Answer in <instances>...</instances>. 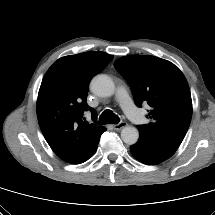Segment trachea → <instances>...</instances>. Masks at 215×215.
<instances>
[{
    "mask_svg": "<svg viewBox=\"0 0 215 215\" xmlns=\"http://www.w3.org/2000/svg\"><path fill=\"white\" fill-rule=\"evenodd\" d=\"M120 121L119 117L115 115L111 110H105L100 118H99V124L105 125V124H117Z\"/></svg>",
    "mask_w": 215,
    "mask_h": 215,
    "instance_id": "1",
    "label": "trachea"
}]
</instances>
